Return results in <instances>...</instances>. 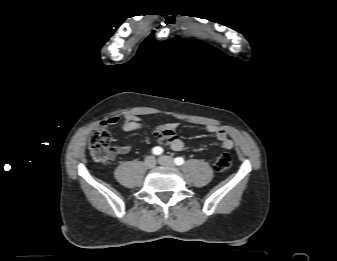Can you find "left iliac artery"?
<instances>
[{
    "mask_svg": "<svg viewBox=\"0 0 337 261\" xmlns=\"http://www.w3.org/2000/svg\"><path fill=\"white\" fill-rule=\"evenodd\" d=\"M174 162L176 165L180 166L184 163V159L182 157H177L175 158Z\"/></svg>",
    "mask_w": 337,
    "mask_h": 261,
    "instance_id": "obj_1",
    "label": "left iliac artery"
}]
</instances>
